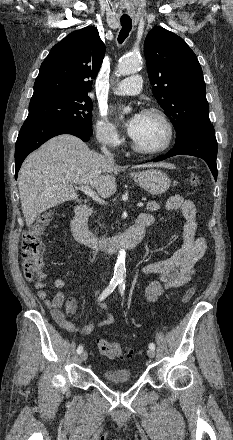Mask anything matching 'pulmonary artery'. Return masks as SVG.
Instances as JSON below:
<instances>
[{
  "label": "pulmonary artery",
  "instance_id": "pulmonary-artery-1",
  "mask_svg": "<svg viewBox=\"0 0 233 440\" xmlns=\"http://www.w3.org/2000/svg\"><path fill=\"white\" fill-rule=\"evenodd\" d=\"M142 77L140 75H132L119 82L113 93L116 95H136L141 91Z\"/></svg>",
  "mask_w": 233,
  "mask_h": 440
}]
</instances>
